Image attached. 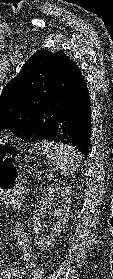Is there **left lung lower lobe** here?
<instances>
[{
  "mask_svg": "<svg viewBox=\"0 0 113 279\" xmlns=\"http://www.w3.org/2000/svg\"><path fill=\"white\" fill-rule=\"evenodd\" d=\"M90 137L89 91L79 67L70 59L37 104L30 125L19 138L67 144L87 157Z\"/></svg>",
  "mask_w": 113,
  "mask_h": 279,
  "instance_id": "obj_1",
  "label": "left lung lower lobe"
}]
</instances>
